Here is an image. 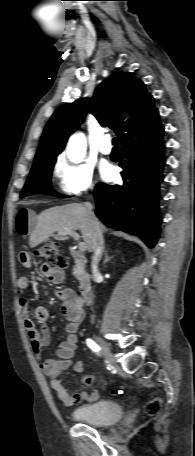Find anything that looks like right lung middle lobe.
I'll return each instance as SVG.
<instances>
[{
    "label": "right lung middle lobe",
    "mask_w": 195,
    "mask_h": 456,
    "mask_svg": "<svg viewBox=\"0 0 195 456\" xmlns=\"http://www.w3.org/2000/svg\"><path fill=\"white\" fill-rule=\"evenodd\" d=\"M56 159L45 160L34 164L30 176L22 190L21 198L33 194H48L57 197H64L56 193L51 187L52 168Z\"/></svg>",
    "instance_id": "1"
}]
</instances>
